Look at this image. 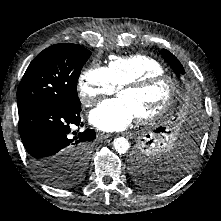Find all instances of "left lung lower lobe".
<instances>
[{
  "label": "left lung lower lobe",
  "mask_w": 221,
  "mask_h": 221,
  "mask_svg": "<svg viewBox=\"0 0 221 221\" xmlns=\"http://www.w3.org/2000/svg\"><path fill=\"white\" fill-rule=\"evenodd\" d=\"M167 130L164 127L156 129V133H166ZM201 134V121L197 117H189L188 128L185 131L181 142L178 145V149L172 154L173 157L179 163L174 170V177L168 182V185L178 180L185 172L187 163L194 157L196 148L198 146L199 137ZM180 140V139H179Z\"/></svg>",
  "instance_id": "0a47b994"
}]
</instances>
